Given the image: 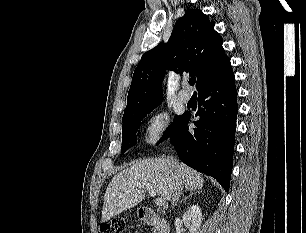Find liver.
<instances>
[{
  "label": "liver",
  "mask_w": 306,
  "mask_h": 233,
  "mask_svg": "<svg viewBox=\"0 0 306 233\" xmlns=\"http://www.w3.org/2000/svg\"><path fill=\"white\" fill-rule=\"evenodd\" d=\"M204 180L196 170L166 158L139 161L113 177L105 195L102 222L133 208L145 197L137 185L149 184L165 200H172L178 184L193 191L203 187Z\"/></svg>",
  "instance_id": "6515ba94"
}]
</instances>
